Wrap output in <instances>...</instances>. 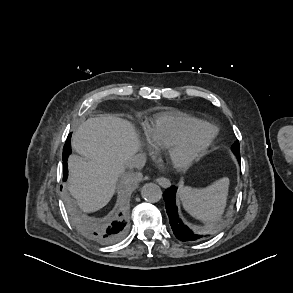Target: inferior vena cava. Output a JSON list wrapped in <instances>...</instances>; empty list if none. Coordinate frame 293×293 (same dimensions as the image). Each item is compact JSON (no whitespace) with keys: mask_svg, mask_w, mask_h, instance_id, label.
<instances>
[{"mask_svg":"<svg viewBox=\"0 0 293 293\" xmlns=\"http://www.w3.org/2000/svg\"><path fill=\"white\" fill-rule=\"evenodd\" d=\"M146 163V157L143 154L133 155L128 161L127 166L131 168H142Z\"/></svg>","mask_w":293,"mask_h":293,"instance_id":"inferior-vena-cava-1","label":"inferior vena cava"}]
</instances>
